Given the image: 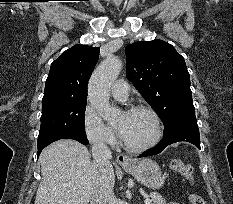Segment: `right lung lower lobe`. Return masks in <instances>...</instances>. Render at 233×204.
Listing matches in <instances>:
<instances>
[{
    "mask_svg": "<svg viewBox=\"0 0 233 204\" xmlns=\"http://www.w3.org/2000/svg\"><path fill=\"white\" fill-rule=\"evenodd\" d=\"M64 139H74V140H77L78 142L84 144V145H87L88 144V140L86 138H81V137H69V138H64ZM46 147V146H43V147H40L38 148V156L39 154L41 153L42 149Z\"/></svg>",
    "mask_w": 233,
    "mask_h": 204,
    "instance_id": "98d812e1",
    "label": "right lung lower lobe"
}]
</instances>
